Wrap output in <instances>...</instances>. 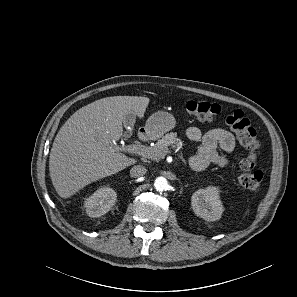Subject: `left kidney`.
Segmentation results:
<instances>
[{
  "instance_id": "left-kidney-1",
  "label": "left kidney",
  "mask_w": 297,
  "mask_h": 297,
  "mask_svg": "<svg viewBox=\"0 0 297 297\" xmlns=\"http://www.w3.org/2000/svg\"><path fill=\"white\" fill-rule=\"evenodd\" d=\"M191 205L195 214L206 221L219 220L224 211L219 189L215 186L197 190L192 195Z\"/></svg>"
}]
</instances>
